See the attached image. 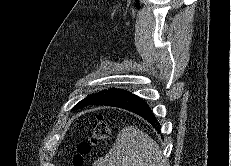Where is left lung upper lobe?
I'll use <instances>...</instances> for the list:
<instances>
[{
    "mask_svg": "<svg viewBox=\"0 0 231 166\" xmlns=\"http://www.w3.org/2000/svg\"><path fill=\"white\" fill-rule=\"evenodd\" d=\"M114 90V88L110 89V90H104V91H100L96 94H92V95H89L88 97H86L85 99H83L82 101H80L78 104H76L72 110H77V109H80V108H83L85 106H88L90 105L95 99H97L98 97L104 95L105 93H108L110 91Z\"/></svg>",
    "mask_w": 231,
    "mask_h": 166,
    "instance_id": "5c2ea615",
    "label": "left lung upper lobe"
}]
</instances>
